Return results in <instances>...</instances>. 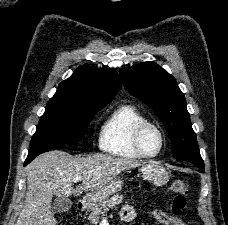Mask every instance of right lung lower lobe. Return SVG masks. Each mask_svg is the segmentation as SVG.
<instances>
[{"instance_id":"right-lung-lower-lobe-1","label":"right lung lower lobe","mask_w":228,"mask_h":225,"mask_svg":"<svg viewBox=\"0 0 228 225\" xmlns=\"http://www.w3.org/2000/svg\"><path fill=\"white\" fill-rule=\"evenodd\" d=\"M57 148H65L64 144H55V145H46V146H42L39 148H35L32 150H29L28 153V157L24 163V166L28 163H30L35 157H37L39 154L47 152V151H51Z\"/></svg>"}]
</instances>
